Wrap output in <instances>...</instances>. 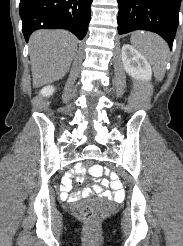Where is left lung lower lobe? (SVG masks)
<instances>
[{
	"instance_id": "left-lung-lower-lobe-1",
	"label": "left lung lower lobe",
	"mask_w": 183,
	"mask_h": 246,
	"mask_svg": "<svg viewBox=\"0 0 183 246\" xmlns=\"http://www.w3.org/2000/svg\"><path fill=\"white\" fill-rule=\"evenodd\" d=\"M181 0H118V33L147 30L162 36L172 48Z\"/></svg>"
}]
</instances>
